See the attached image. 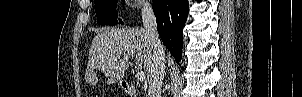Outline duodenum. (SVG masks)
<instances>
[{
    "label": "duodenum",
    "instance_id": "1",
    "mask_svg": "<svg viewBox=\"0 0 302 97\" xmlns=\"http://www.w3.org/2000/svg\"><path fill=\"white\" fill-rule=\"evenodd\" d=\"M122 86L125 92L128 94V96L131 97H137L138 96V90L128 81L124 80L122 81Z\"/></svg>",
    "mask_w": 302,
    "mask_h": 97
}]
</instances>
